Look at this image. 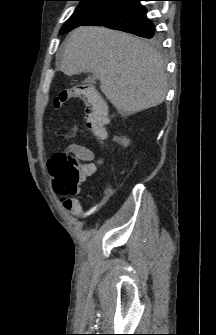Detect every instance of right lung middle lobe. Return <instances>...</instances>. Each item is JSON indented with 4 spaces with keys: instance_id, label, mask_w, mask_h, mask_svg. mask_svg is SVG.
I'll return each mask as SVG.
<instances>
[{
    "instance_id": "dd1d6c3e",
    "label": "right lung middle lobe",
    "mask_w": 216,
    "mask_h": 335,
    "mask_svg": "<svg viewBox=\"0 0 216 335\" xmlns=\"http://www.w3.org/2000/svg\"><path fill=\"white\" fill-rule=\"evenodd\" d=\"M80 5L62 27L60 34L71 31L99 14L117 0H76ZM156 40V38L154 39Z\"/></svg>"
}]
</instances>
